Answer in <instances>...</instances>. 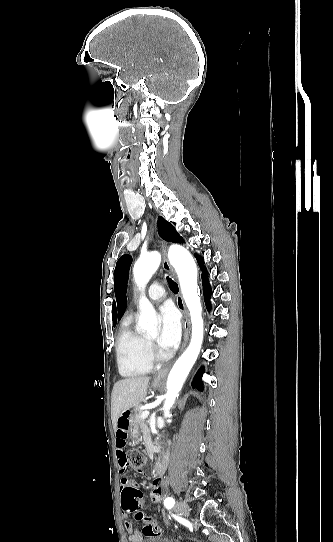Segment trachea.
I'll use <instances>...</instances> for the list:
<instances>
[{
	"mask_svg": "<svg viewBox=\"0 0 333 542\" xmlns=\"http://www.w3.org/2000/svg\"><path fill=\"white\" fill-rule=\"evenodd\" d=\"M167 281H168V284H169V287L172 291H178V285L176 282H174L173 280H171V278L167 277Z\"/></svg>",
	"mask_w": 333,
	"mask_h": 542,
	"instance_id": "1",
	"label": "trachea"
}]
</instances>
